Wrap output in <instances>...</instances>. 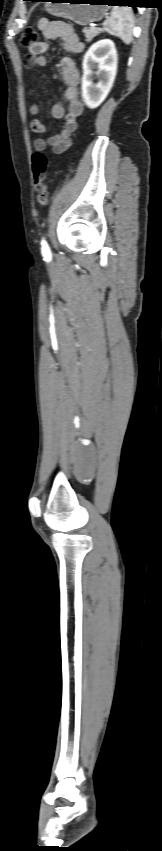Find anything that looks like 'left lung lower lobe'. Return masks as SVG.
Listing matches in <instances>:
<instances>
[{
    "instance_id": "obj_1",
    "label": "left lung lower lobe",
    "mask_w": 162,
    "mask_h": 851,
    "mask_svg": "<svg viewBox=\"0 0 162 851\" xmlns=\"http://www.w3.org/2000/svg\"><path fill=\"white\" fill-rule=\"evenodd\" d=\"M31 1H43V0H31ZM107 1H108L107 3H109V5L130 6L131 4L135 3L133 0H107Z\"/></svg>"
}]
</instances>
